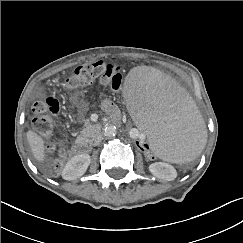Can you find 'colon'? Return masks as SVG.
I'll use <instances>...</instances> for the list:
<instances>
[{
  "instance_id": "5ec220e1",
  "label": "colon",
  "mask_w": 243,
  "mask_h": 243,
  "mask_svg": "<svg viewBox=\"0 0 243 243\" xmlns=\"http://www.w3.org/2000/svg\"><path fill=\"white\" fill-rule=\"evenodd\" d=\"M98 80L101 84L108 86L112 90H119L122 85L121 67L114 60L110 62L98 61L80 65L74 74L67 79L66 86L70 90H75L92 84ZM60 102L53 96H45L33 105V127L42 134H49L54 128L53 116L60 113ZM125 142L138 150H144L145 158L149 163L158 164L159 158L152 155L150 145L132 138L131 118H124ZM49 153H54L56 147L53 144L47 146ZM69 156L65 149L61 150L59 157L55 160L56 170L62 168L64 160Z\"/></svg>"
}]
</instances>
